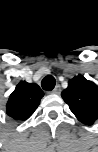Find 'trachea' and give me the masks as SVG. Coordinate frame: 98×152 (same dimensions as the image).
Returning a JSON list of instances; mask_svg holds the SVG:
<instances>
[{
	"label": "trachea",
	"mask_w": 98,
	"mask_h": 152,
	"mask_svg": "<svg viewBox=\"0 0 98 152\" xmlns=\"http://www.w3.org/2000/svg\"><path fill=\"white\" fill-rule=\"evenodd\" d=\"M55 84H56L55 78L51 75L44 77L41 82L42 88L46 91L53 90L55 87Z\"/></svg>",
	"instance_id": "trachea-1"
}]
</instances>
